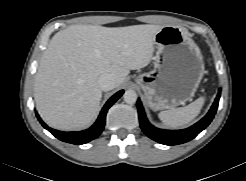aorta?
Instances as JSON below:
<instances>
[{
    "instance_id": "762f6f07",
    "label": "aorta",
    "mask_w": 246,
    "mask_h": 181,
    "mask_svg": "<svg viewBox=\"0 0 246 181\" xmlns=\"http://www.w3.org/2000/svg\"><path fill=\"white\" fill-rule=\"evenodd\" d=\"M123 98L127 104H134L137 101V93L132 89L126 90Z\"/></svg>"
}]
</instances>
